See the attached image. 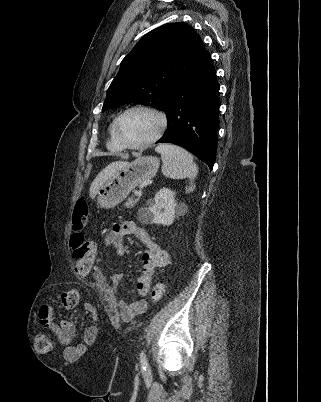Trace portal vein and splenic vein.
<instances>
[{"label":"portal vein and splenic vein","instance_id":"18ae733b","mask_svg":"<svg viewBox=\"0 0 321 402\" xmlns=\"http://www.w3.org/2000/svg\"><path fill=\"white\" fill-rule=\"evenodd\" d=\"M141 195H142V191H141V190L135 192V196H136V197H140Z\"/></svg>","mask_w":321,"mask_h":402}]
</instances>
